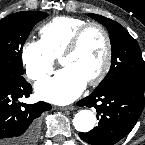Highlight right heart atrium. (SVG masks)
<instances>
[{
  "mask_svg": "<svg viewBox=\"0 0 145 145\" xmlns=\"http://www.w3.org/2000/svg\"><path fill=\"white\" fill-rule=\"evenodd\" d=\"M21 60L26 75L31 80H40L53 72L55 58L41 41H27L21 50Z\"/></svg>",
  "mask_w": 145,
  "mask_h": 145,
  "instance_id": "right-heart-atrium-1",
  "label": "right heart atrium"
}]
</instances>
